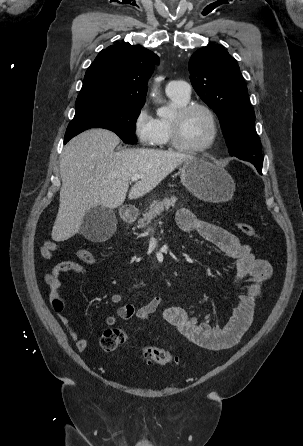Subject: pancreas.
Here are the masks:
<instances>
[{
	"label": "pancreas",
	"mask_w": 303,
	"mask_h": 446,
	"mask_svg": "<svg viewBox=\"0 0 303 446\" xmlns=\"http://www.w3.org/2000/svg\"><path fill=\"white\" fill-rule=\"evenodd\" d=\"M177 198L175 196L165 197L163 200H154L149 209L143 214V217L138 220V228H145L149 226L157 216L161 215L164 210H169L174 207Z\"/></svg>",
	"instance_id": "obj_1"
}]
</instances>
